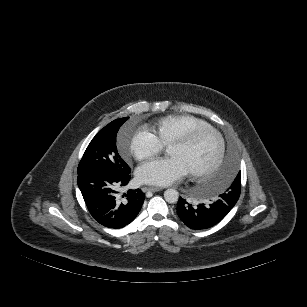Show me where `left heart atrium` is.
<instances>
[{"label":"left heart atrium","mask_w":307,"mask_h":307,"mask_svg":"<svg viewBox=\"0 0 307 307\" xmlns=\"http://www.w3.org/2000/svg\"><path fill=\"white\" fill-rule=\"evenodd\" d=\"M190 170L175 156L156 158L144 162L136 171L139 183L167 186L182 179Z\"/></svg>","instance_id":"left-heart-atrium-1"}]
</instances>
